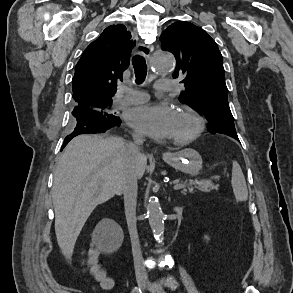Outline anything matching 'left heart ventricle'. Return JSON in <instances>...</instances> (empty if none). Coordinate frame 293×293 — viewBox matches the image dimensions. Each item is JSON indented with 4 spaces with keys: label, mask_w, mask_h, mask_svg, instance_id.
I'll use <instances>...</instances> for the list:
<instances>
[{
    "label": "left heart ventricle",
    "mask_w": 293,
    "mask_h": 293,
    "mask_svg": "<svg viewBox=\"0 0 293 293\" xmlns=\"http://www.w3.org/2000/svg\"><path fill=\"white\" fill-rule=\"evenodd\" d=\"M193 129V122L186 116L175 113L171 138H179L188 135Z\"/></svg>",
    "instance_id": "1"
}]
</instances>
